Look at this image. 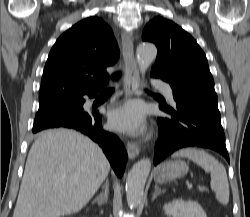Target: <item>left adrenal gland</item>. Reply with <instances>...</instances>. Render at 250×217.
<instances>
[{
	"label": "left adrenal gland",
	"instance_id": "1",
	"mask_svg": "<svg viewBox=\"0 0 250 217\" xmlns=\"http://www.w3.org/2000/svg\"><path fill=\"white\" fill-rule=\"evenodd\" d=\"M165 190H162L161 188H159V186H155V191L152 197V201H154L160 194L164 193Z\"/></svg>",
	"mask_w": 250,
	"mask_h": 217
}]
</instances>
